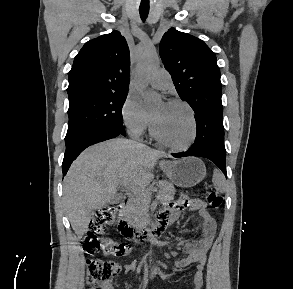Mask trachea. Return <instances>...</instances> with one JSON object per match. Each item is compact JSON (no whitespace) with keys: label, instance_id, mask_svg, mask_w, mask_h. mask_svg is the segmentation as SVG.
<instances>
[{"label":"trachea","instance_id":"3493384b","mask_svg":"<svg viewBox=\"0 0 293 289\" xmlns=\"http://www.w3.org/2000/svg\"><path fill=\"white\" fill-rule=\"evenodd\" d=\"M139 13L142 20H145L148 17L149 9H139Z\"/></svg>","mask_w":293,"mask_h":289}]
</instances>
